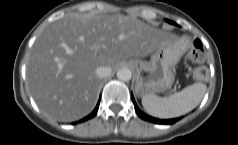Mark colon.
<instances>
[{
    "mask_svg": "<svg viewBox=\"0 0 238 145\" xmlns=\"http://www.w3.org/2000/svg\"><path fill=\"white\" fill-rule=\"evenodd\" d=\"M191 59L197 63L204 62L206 58V52L203 43L200 39H196L193 42L192 49L190 52ZM208 77V70L201 66L194 71V78L199 81L206 80Z\"/></svg>",
    "mask_w": 238,
    "mask_h": 145,
    "instance_id": "1",
    "label": "colon"
}]
</instances>
